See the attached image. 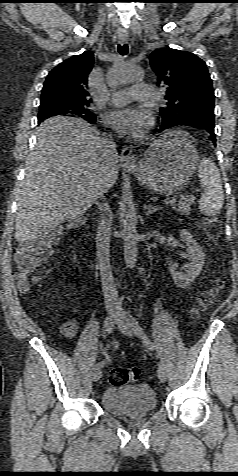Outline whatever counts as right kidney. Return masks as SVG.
<instances>
[{
  "label": "right kidney",
  "mask_w": 238,
  "mask_h": 476,
  "mask_svg": "<svg viewBox=\"0 0 238 476\" xmlns=\"http://www.w3.org/2000/svg\"><path fill=\"white\" fill-rule=\"evenodd\" d=\"M73 260H74V261L76 260V256H75V255L73 256Z\"/></svg>",
  "instance_id": "right-kidney-1"
}]
</instances>
